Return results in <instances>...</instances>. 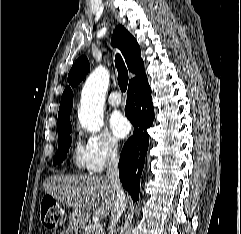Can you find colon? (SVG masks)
<instances>
[{
  "label": "colon",
  "mask_w": 241,
  "mask_h": 234,
  "mask_svg": "<svg viewBox=\"0 0 241 234\" xmlns=\"http://www.w3.org/2000/svg\"><path fill=\"white\" fill-rule=\"evenodd\" d=\"M65 219L63 210L57 205L56 201L51 197L43 199L41 204V221L47 228L59 227Z\"/></svg>",
  "instance_id": "1"
}]
</instances>
